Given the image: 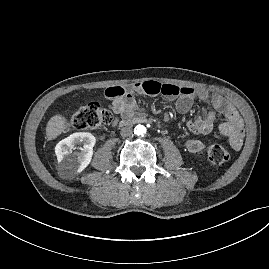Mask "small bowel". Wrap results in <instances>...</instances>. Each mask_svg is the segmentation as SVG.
Returning <instances> with one entry per match:
<instances>
[{"mask_svg": "<svg viewBox=\"0 0 269 269\" xmlns=\"http://www.w3.org/2000/svg\"><path fill=\"white\" fill-rule=\"evenodd\" d=\"M135 94H163L169 99H176V109L180 113L188 112L195 101H201L208 106V111L204 116L188 121L189 131L193 134L210 133L220 114L224 118L218 127L220 133L233 149L242 146L243 121L236 109L217 93H209L203 88L179 87L157 81L137 82L126 88L113 86L105 90V95L110 100V109L117 117L124 119L141 115ZM185 148L191 153H198L204 149V144L197 139H188Z\"/></svg>", "mask_w": 269, "mask_h": 269, "instance_id": "small-bowel-1", "label": "small bowel"}]
</instances>
